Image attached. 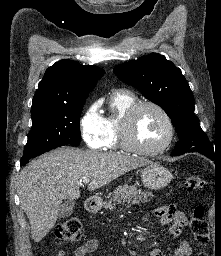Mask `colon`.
<instances>
[{"instance_id":"1","label":"colon","mask_w":221,"mask_h":256,"mask_svg":"<svg viewBox=\"0 0 221 256\" xmlns=\"http://www.w3.org/2000/svg\"><path fill=\"white\" fill-rule=\"evenodd\" d=\"M204 180L198 175L186 178L183 187L187 192L199 191L204 187ZM190 228L194 240L199 247H204L209 242V228L205 218V210L202 206H196L192 213ZM55 237L62 242H76L81 238V222L78 218L72 217L60 223L55 230ZM199 256H206L200 252Z\"/></svg>"}]
</instances>
